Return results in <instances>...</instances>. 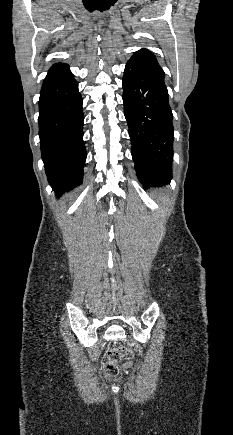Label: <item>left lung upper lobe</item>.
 <instances>
[{
	"instance_id": "left-lung-upper-lobe-1",
	"label": "left lung upper lobe",
	"mask_w": 233,
	"mask_h": 435,
	"mask_svg": "<svg viewBox=\"0 0 233 435\" xmlns=\"http://www.w3.org/2000/svg\"><path fill=\"white\" fill-rule=\"evenodd\" d=\"M128 63L156 74L163 79L165 77V73L158 64L156 57L146 49L135 52Z\"/></svg>"
}]
</instances>
